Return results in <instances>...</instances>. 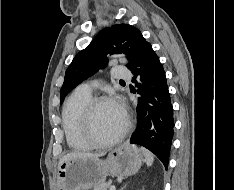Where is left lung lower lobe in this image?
<instances>
[{
  "label": "left lung lower lobe",
  "mask_w": 234,
  "mask_h": 190,
  "mask_svg": "<svg viewBox=\"0 0 234 190\" xmlns=\"http://www.w3.org/2000/svg\"><path fill=\"white\" fill-rule=\"evenodd\" d=\"M129 69L141 81L137 91H133L140 97L137 128L130 143L149 149L167 169L173 139V108L165 71L150 43H144Z\"/></svg>",
  "instance_id": "left-lung-lower-lobe-1"
}]
</instances>
